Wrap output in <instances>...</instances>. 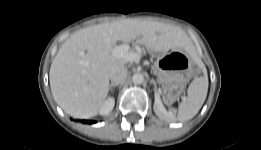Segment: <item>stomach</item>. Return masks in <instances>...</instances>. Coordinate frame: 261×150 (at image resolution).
<instances>
[{
	"mask_svg": "<svg viewBox=\"0 0 261 150\" xmlns=\"http://www.w3.org/2000/svg\"><path fill=\"white\" fill-rule=\"evenodd\" d=\"M155 72L164 88L179 89L190 76L191 60L186 53L178 50L161 53L155 62Z\"/></svg>",
	"mask_w": 261,
	"mask_h": 150,
	"instance_id": "1",
	"label": "stomach"
}]
</instances>
